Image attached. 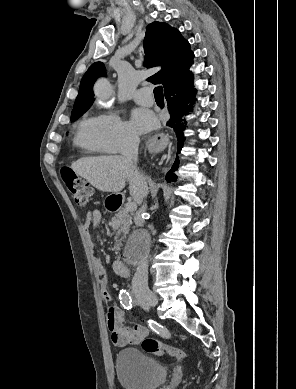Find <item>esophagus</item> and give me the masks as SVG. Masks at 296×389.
Segmentation results:
<instances>
[{
  "label": "esophagus",
  "mask_w": 296,
  "mask_h": 389,
  "mask_svg": "<svg viewBox=\"0 0 296 389\" xmlns=\"http://www.w3.org/2000/svg\"><path fill=\"white\" fill-rule=\"evenodd\" d=\"M172 136L170 133L165 132L160 135H149L145 139V144L149 148H155L160 151H165L169 147V142L171 141Z\"/></svg>",
  "instance_id": "1"
}]
</instances>
